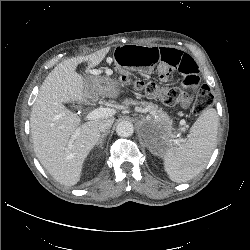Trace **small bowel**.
Masks as SVG:
<instances>
[{"mask_svg":"<svg viewBox=\"0 0 250 250\" xmlns=\"http://www.w3.org/2000/svg\"><path fill=\"white\" fill-rule=\"evenodd\" d=\"M113 66L119 72L149 77L154 74L168 81L174 72L182 76L183 86L193 90L200 84L199 67L188 54L174 48L122 45L115 49Z\"/></svg>","mask_w":250,"mask_h":250,"instance_id":"small-bowel-1","label":"small bowel"}]
</instances>
